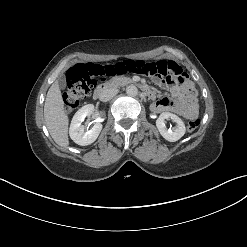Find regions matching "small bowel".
Instances as JSON below:
<instances>
[{
  "label": "small bowel",
  "instance_id": "small-bowel-1",
  "mask_svg": "<svg viewBox=\"0 0 247 247\" xmlns=\"http://www.w3.org/2000/svg\"><path fill=\"white\" fill-rule=\"evenodd\" d=\"M133 73L147 76L154 83L169 91V96L160 98L152 104L153 112H173L185 119L197 117L198 104L194 86L176 62L171 60L143 61V66Z\"/></svg>",
  "mask_w": 247,
  "mask_h": 247
}]
</instances>
